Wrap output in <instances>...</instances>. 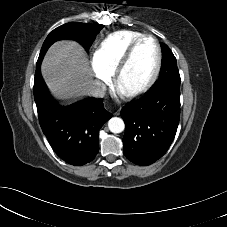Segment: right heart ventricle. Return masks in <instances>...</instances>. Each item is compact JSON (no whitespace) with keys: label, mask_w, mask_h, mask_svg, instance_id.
<instances>
[{"label":"right heart ventricle","mask_w":227,"mask_h":227,"mask_svg":"<svg viewBox=\"0 0 227 227\" xmlns=\"http://www.w3.org/2000/svg\"><path fill=\"white\" fill-rule=\"evenodd\" d=\"M140 35L141 32L134 30H120L109 34L95 50V59L109 74H113L128 46Z\"/></svg>","instance_id":"right-heart-ventricle-1"}]
</instances>
